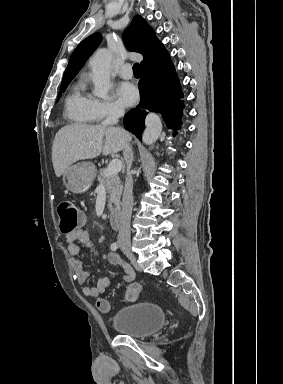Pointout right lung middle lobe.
<instances>
[{"mask_svg":"<svg viewBox=\"0 0 283 384\" xmlns=\"http://www.w3.org/2000/svg\"><path fill=\"white\" fill-rule=\"evenodd\" d=\"M70 82L62 83L61 84V92H64ZM61 92L58 94V97H61Z\"/></svg>","mask_w":283,"mask_h":384,"instance_id":"obj_1","label":"right lung middle lobe"}]
</instances>
